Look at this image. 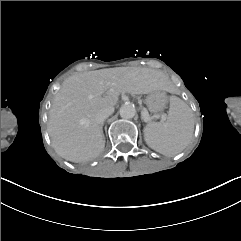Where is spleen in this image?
<instances>
[{
  "label": "spleen",
  "mask_w": 241,
  "mask_h": 241,
  "mask_svg": "<svg viewBox=\"0 0 241 241\" xmlns=\"http://www.w3.org/2000/svg\"><path fill=\"white\" fill-rule=\"evenodd\" d=\"M168 107L167 122L147 124L143 132L151 149L165 156H174L188 145L194 131V119L191 109L181 98H172Z\"/></svg>",
  "instance_id": "1"
}]
</instances>
